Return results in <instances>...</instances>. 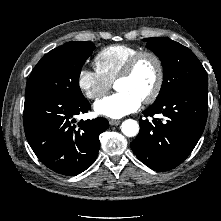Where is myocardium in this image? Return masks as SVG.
Listing matches in <instances>:
<instances>
[{
    "label": "myocardium",
    "mask_w": 221,
    "mask_h": 221,
    "mask_svg": "<svg viewBox=\"0 0 221 221\" xmlns=\"http://www.w3.org/2000/svg\"><path fill=\"white\" fill-rule=\"evenodd\" d=\"M143 58H150L154 61L156 70H157V77L155 85L152 89V91L142 99V102L145 104H151L159 97L163 84H164V78H165V69L162 59L158 54L152 51H139L138 53L134 54L124 65L121 72L118 74L116 78V82L121 79H126L132 76L134 73L137 65Z\"/></svg>",
    "instance_id": "obj_1"
}]
</instances>
